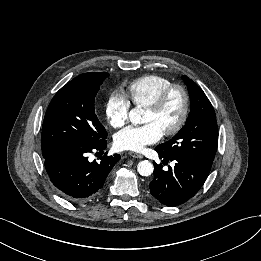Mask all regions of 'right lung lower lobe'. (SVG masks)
<instances>
[{
  "label": "right lung lower lobe",
  "instance_id": "1",
  "mask_svg": "<svg viewBox=\"0 0 261 261\" xmlns=\"http://www.w3.org/2000/svg\"><path fill=\"white\" fill-rule=\"evenodd\" d=\"M107 141L101 139L89 147H74L45 158V168L58 193L71 202H86L100 192L119 154L101 158L100 162L88 161V153L106 149Z\"/></svg>",
  "mask_w": 261,
  "mask_h": 261
}]
</instances>
